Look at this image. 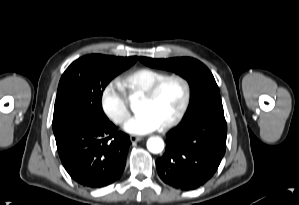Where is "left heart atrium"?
I'll return each instance as SVG.
<instances>
[{"instance_id":"39dd6f15","label":"left heart atrium","mask_w":299,"mask_h":205,"mask_svg":"<svg viewBox=\"0 0 299 205\" xmlns=\"http://www.w3.org/2000/svg\"><path fill=\"white\" fill-rule=\"evenodd\" d=\"M160 127V123L153 116L142 112L128 120L124 125V130L134 135H145Z\"/></svg>"}]
</instances>
